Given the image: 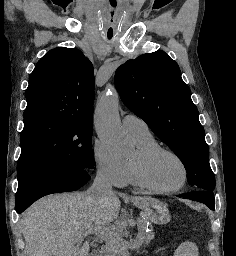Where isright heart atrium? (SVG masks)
I'll return each mask as SVG.
<instances>
[{
  "instance_id": "1",
  "label": "right heart atrium",
  "mask_w": 236,
  "mask_h": 256,
  "mask_svg": "<svg viewBox=\"0 0 236 256\" xmlns=\"http://www.w3.org/2000/svg\"><path fill=\"white\" fill-rule=\"evenodd\" d=\"M94 119L96 121V118ZM91 158L98 178L116 188H123L127 185L128 177L125 163L114 160L99 139L93 143Z\"/></svg>"
}]
</instances>
